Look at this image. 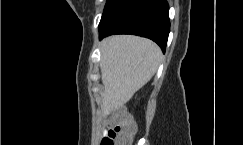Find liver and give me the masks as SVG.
<instances>
[{"label":"liver","mask_w":243,"mask_h":145,"mask_svg":"<svg viewBox=\"0 0 243 145\" xmlns=\"http://www.w3.org/2000/svg\"><path fill=\"white\" fill-rule=\"evenodd\" d=\"M101 48L102 110L122 108L155 74L160 48L151 40L117 35L104 39Z\"/></svg>","instance_id":"obj_1"}]
</instances>
